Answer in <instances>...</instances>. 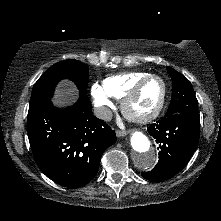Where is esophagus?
Segmentation results:
<instances>
[{"instance_id":"1","label":"esophagus","mask_w":221,"mask_h":221,"mask_svg":"<svg viewBox=\"0 0 221 221\" xmlns=\"http://www.w3.org/2000/svg\"><path fill=\"white\" fill-rule=\"evenodd\" d=\"M116 135L117 137H124L127 135V132L125 130H117Z\"/></svg>"}]
</instances>
